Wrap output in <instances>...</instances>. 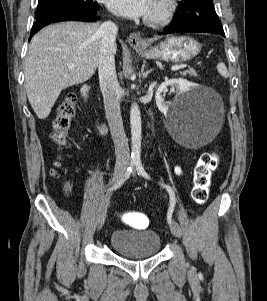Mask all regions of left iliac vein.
I'll use <instances>...</instances> for the list:
<instances>
[{"label":"left iliac vein","mask_w":267,"mask_h":301,"mask_svg":"<svg viewBox=\"0 0 267 301\" xmlns=\"http://www.w3.org/2000/svg\"><path fill=\"white\" fill-rule=\"evenodd\" d=\"M133 175H135V172L133 173ZM169 225H170L171 233L174 236L180 238L182 236V231H181L180 227L178 226V224L175 222H171Z\"/></svg>","instance_id":"1"}]
</instances>
